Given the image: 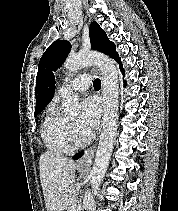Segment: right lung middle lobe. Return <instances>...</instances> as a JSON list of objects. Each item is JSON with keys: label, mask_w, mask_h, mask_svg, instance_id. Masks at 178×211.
<instances>
[{"label": "right lung middle lobe", "mask_w": 178, "mask_h": 211, "mask_svg": "<svg viewBox=\"0 0 178 211\" xmlns=\"http://www.w3.org/2000/svg\"><path fill=\"white\" fill-rule=\"evenodd\" d=\"M41 111H39V112H35V115H37V114H39Z\"/></svg>", "instance_id": "obj_1"}]
</instances>
